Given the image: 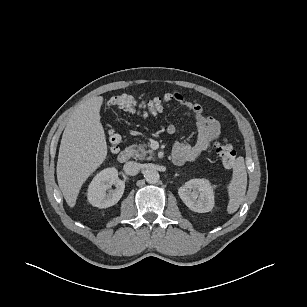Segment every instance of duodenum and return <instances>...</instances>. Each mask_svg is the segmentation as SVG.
Returning <instances> with one entry per match:
<instances>
[{
  "instance_id": "duodenum-1",
  "label": "duodenum",
  "mask_w": 307,
  "mask_h": 307,
  "mask_svg": "<svg viewBox=\"0 0 307 307\" xmlns=\"http://www.w3.org/2000/svg\"><path fill=\"white\" fill-rule=\"evenodd\" d=\"M131 158V151L128 149L122 150L118 154V161L120 163H125Z\"/></svg>"
}]
</instances>
